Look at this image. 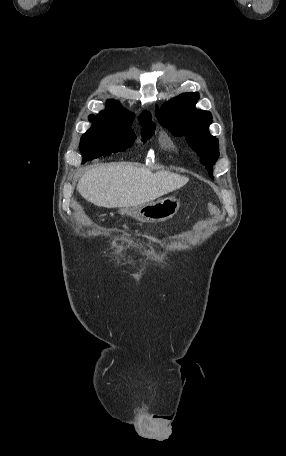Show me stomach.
<instances>
[{"instance_id": "0dacf381", "label": "stomach", "mask_w": 286, "mask_h": 456, "mask_svg": "<svg viewBox=\"0 0 286 456\" xmlns=\"http://www.w3.org/2000/svg\"><path fill=\"white\" fill-rule=\"evenodd\" d=\"M180 207V201L175 197L146 204L138 209L139 218L148 223L162 222L172 218Z\"/></svg>"}]
</instances>
